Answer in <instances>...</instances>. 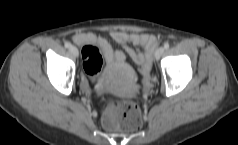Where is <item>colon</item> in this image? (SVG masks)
Masks as SVG:
<instances>
[{"label": "colon", "mask_w": 238, "mask_h": 145, "mask_svg": "<svg viewBox=\"0 0 238 145\" xmlns=\"http://www.w3.org/2000/svg\"><path fill=\"white\" fill-rule=\"evenodd\" d=\"M83 67L85 72L94 76L99 73L102 67V56L95 45H84L82 48ZM141 112L138 105L127 100H113L104 114V124L112 130L134 131L141 125Z\"/></svg>", "instance_id": "5ec220e1"}]
</instances>
